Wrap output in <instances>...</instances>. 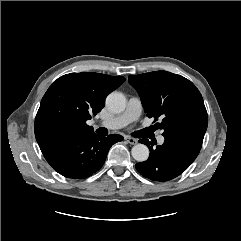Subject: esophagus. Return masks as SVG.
<instances>
[{"instance_id":"34e87169","label":"esophagus","mask_w":241,"mask_h":241,"mask_svg":"<svg viewBox=\"0 0 241 241\" xmlns=\"http://www.w3.org/2000/svg\"><path fill=\"white\" fill-rule=\"evenodd\" d=\"M125 140H126L129 144H131V145L137 144V139H135V138L126 136V137H125Z\"/></svg>"}]
</instances>
